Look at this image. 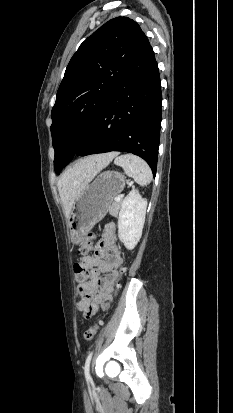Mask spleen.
<instances>
[{"label":"spleen","instance_id":"spleen-1","mask_svg":"<svg viewBox=\"0 0 233 413\" xmlns=\"http://www.w3.org/2000/svg\"><path fill=\"white\" fill-rule=\"evenodd\" d=\"M114 163L121 166L125 174L132 177L141 186H145L152 181V172L149 165L138 156L124 154L117 157Z\"/></svg>","mask_w":233,"mask_h":413}]
</instances>
